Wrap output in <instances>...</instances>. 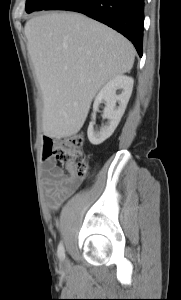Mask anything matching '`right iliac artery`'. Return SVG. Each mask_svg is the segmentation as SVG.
I'll return each instance as SVG.
<instances>
[{
	"instance_id": "obj_1",
	"label": "right iliac artery",
	"mask_w": 181,
	"mask_h": 300,
	"mask_svg": "<svg viewBox=\"0 0 181 300\" xmlns=\"http://www.w3.org/2000/svg\"><path fill=\"white\" fill-rule=\"evenodd\" d=\"M57 254L60 260H63L65 258V250H64L63 243H60L58 245Z\"/></svg>"
}]
</instances>
